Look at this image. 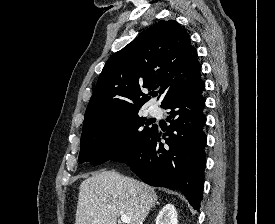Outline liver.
I'll return each instance as SVG.
<instances>
[{"mask_svg":"<svg viewBox=\"0 0 275 224\" xmlns=\"http://www.w3.org/2000/svg\"><path fill=\"white\" fill-rule=\"evenodd\" d=\"M154 188L115 171H102L79 187L75 224H117L126 215L129 224H143L157 201Z\"/></svg>","mask_w":275,"mask_h":224,"instance_id":"1","label":"liver"}]
</instances>
